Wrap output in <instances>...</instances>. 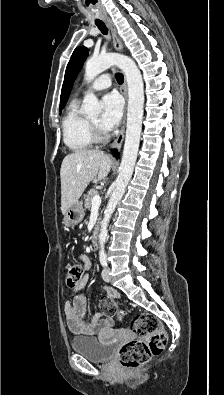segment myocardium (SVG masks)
Instances as JSON below:
<instances>
[{
	"mask_svg": "<svg viewBox=\"0 0 224 395\" xmlns=\"http://www.w3.org/2000/svg\"><path fill=\"white\" fill-rule=\"evenodd\" d=\"M90 126L93 140L100 142L106 138L104 132L101 130L97 122L90 120Z\"/></svg>",
	"mask_w": 224,
	"mask_h": 395,
	"instance_id": "myocardium-1",
	"label": "myocardium"
}]
</instances>
